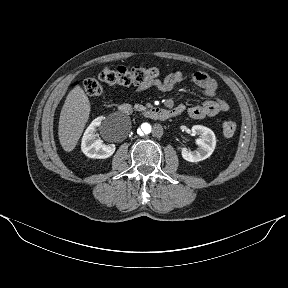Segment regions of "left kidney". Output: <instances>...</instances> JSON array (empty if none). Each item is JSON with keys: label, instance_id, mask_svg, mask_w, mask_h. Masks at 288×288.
Here are the masks:
<instances>
[{"label": "left kidney", "instance_id": "obj_1", "mask_svg": "<svg viewBox=\"0 0 288 288\" xmlns=\"http://www.w3.org/2000/svg\"><path fill=\"white\" fill-rule=\"evenodd\" d=\"M193 135H199L196 143L198 148L194 151L185 147H178L181 151L182 157L189 162H199L207 159L213 153L216 146V137L214 132L201 125H195L191 129Z\"/></svg>", "mask_w": 288, "mask_h": 288}]
</instances>
